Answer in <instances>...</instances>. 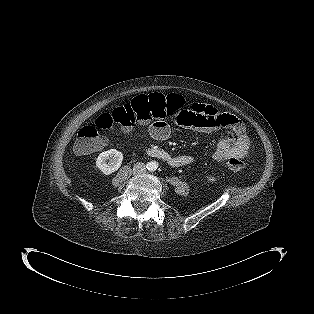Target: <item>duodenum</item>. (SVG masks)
<instances>
[{"instance_id": "obj_1", "label": "duodenum", "mask_w": 314, "mask_h": 314, "mask_svg": "<svg viewBox=\"0 0 314 314\" xmlns=\"http://www.w3.org/2000/svg\"><path fill=\"white\" fill-rule=\"evenodd\" d=\"M147 153L150 156H154V157L166 160V161H168L170 163H172L173 160H174V157H172L169 152H167L165 150H162V149L148 148L147 149Z\"/></svg>"}]
</instances>
